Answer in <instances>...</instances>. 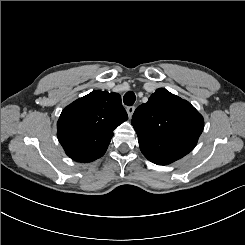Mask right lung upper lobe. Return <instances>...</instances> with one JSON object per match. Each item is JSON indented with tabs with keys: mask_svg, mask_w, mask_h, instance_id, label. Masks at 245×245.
I'll return each instance as SVG.
<instances>
[{
	"mask_svg": "<svg viewBox=\"0 0 245 245\" xmlns=\"http://www.w3.org/2000/svg\"><path fill=\"white\" fill-rule=\"evenodd\" d=\"M127 119L119 94L92 91L63 109L58 140L70 158L91 162L104 155L113 130Z\"/></svg>",
	"mask_w": 245,
	"mask_h": 245,
	"instance_id": "1",
	"label": "right lung upper lobe"
}]
</instances>
